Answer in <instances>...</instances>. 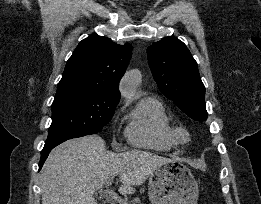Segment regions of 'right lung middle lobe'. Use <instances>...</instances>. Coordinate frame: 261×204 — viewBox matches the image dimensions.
Returning <instances> with one entry per match:
<instances>
[{
	"instance_id": "1",
	"label": "right lung middle lobe",
	"mask_w": 261,
	"mask_h": 204,
	"mask_svg": "<svg viewBox=\"0 0 261 204\" xmlns=\"http://www.w3.org/2000/svg\"><path fill=\"white\" fill-rule=\"evenodd\" d=\"M119 100L91 91H72L55 96L52 124L46 142L77 138L101 131L111 120Z\"/></svg>"
}]
</instances>
